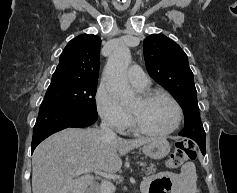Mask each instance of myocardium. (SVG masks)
Returning a JSON list of instances; mask_svg holds the SVG:
<instances>
[{
  "instance_id": "myocardium-1",
  "label": "myocardium",
  "mask_w": 237,
  "mask_h": 193,
  "mask_svg": "<svg viewBox=\"0 0 237 193\" xmlns=\"http://www.w3.org/2000/svg\"><path fill=\"white\" fill-rule=\"evenodd\" d=\"M157 97H164V98L168 99L169 101H171L172 104L174 105V107L177 111V118H176L174 125L171 128L164 130V131L148 130V129L140 126L136 122L134 116L129 112L130 126L135 132L145 135V136L163 137V136H167V135L174 133L181 126V123L183 120V110H182V107L179 104V102L171 94L164 92V91H150V92H145V93L141 94L139 99L143 103H148Z\"/></svg>"
}]
</instances>
